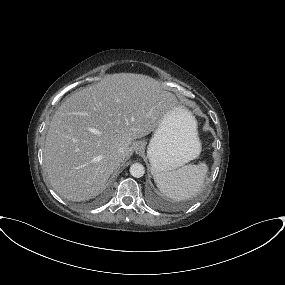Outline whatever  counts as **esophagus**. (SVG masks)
I'll return each mask as SVG.
<instances>
[{
    "label": "esophagus",
    "instance_id": "esophagus-1",
    "mask_svg": "<svg viewBox=\"0 0 285 285\" xmlns=\"http://www.w3.org/2000/svg\"><path fill=\"white\" fill-rule=\"evenodd\" d=\"M139 151L143 152L144 149H145V145L143 143L139 144L138 145V148H137Z\"/></svg>",
    "mask_w": 285,
    "mask_h": 285
}]
</instances>
